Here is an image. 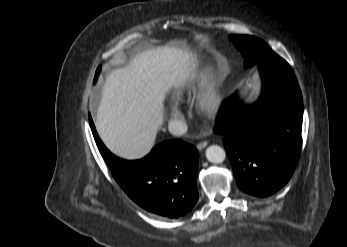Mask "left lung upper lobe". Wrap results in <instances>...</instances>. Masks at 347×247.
Wrapping results in <instances>:
<instances>
[{
  "label": "left lung upper lobe",
  "instance_id": "5c2ea615",
  "mask_svg": "<svg viewBox=\"0 0 347 247\" xmlns=\"http://www.w3.org/2000/svg\"><path fill=\"white\" fill-rule=\"evenodd\" d=\"M229 38L234 42L238 50L244 57L245 66L254 62L275 60L279 56L275 54L269 46L261 39L248 35H231Z\"/></svg>",
  "mask_w": 347,
  "mask_h": 247
}]
</instances>
